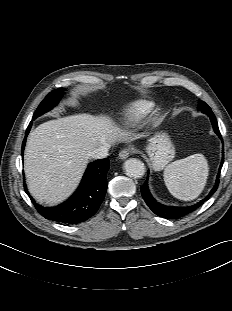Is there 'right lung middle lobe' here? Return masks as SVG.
Instances as JSON below:
<instances>
[{
    "label": "right lung middle lobe",
    "mask_w": 232,
    "mask_h": 311,
    "mask_svg": "<svg viewBox=\"0 0 232 311\" xmlns=\"http://www.w3.org/2000/svg\"><path fill=\"white\" fill-rule=\"evenodd\" d=\"M64 90L65 88H58L50 92L38 106L37 110L34 113L33 119L39 117L40 115L44 114L45 112L51 110L54 106H56L61 97L63 96Z\"/></svg>",
    "instance_id": "1"
}]
</instances>
